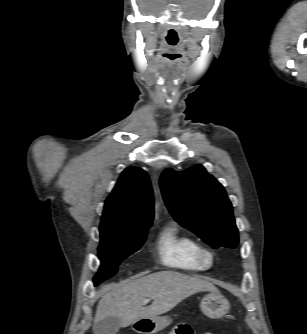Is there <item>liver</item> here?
<instances>
[{"mask_svg":"<svg viewBox=\"0 0 307 334\" xmlns=\"http://www.w3.org/2000/svg\"><path fill=\"white\" fill-rule=\"evenodd\" d=\"M201 291L218 292V289L206 280L174 271H160L110 284L98 303L94 323L107 317H117L121 327H127L141 319L164 314L185 298ZM146 298L153 300L151 305L144 306Z\"/></svg>","mask_w":307,"mask_h":334,"instance_id":"obj_1","label":"liver"}]
</instances>
